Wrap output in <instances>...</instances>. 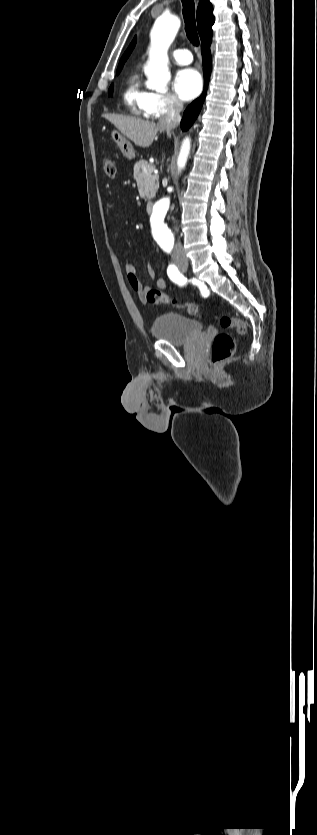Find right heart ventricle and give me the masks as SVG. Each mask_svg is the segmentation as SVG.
<instances>
[{"label":"right heart ventricle","mask_w":317,"mask_h":835,"mask_svg":"<svg viewBox=\"0 0 317 835\" xmlns=\"http://www.w3.org/2000/svg\"><path fill=\"white\" fill-rule=\"evenodd\" d=\"M150 92L140 83L138 74H131L126 82L123 99L130 112L134 115H146V105Z\"/></svg>","instance_id":"1"}]
</instances>
